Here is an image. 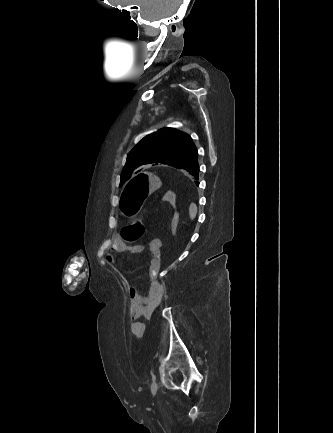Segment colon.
Masks as SVG:
<instances>
[{
    "mask_svg": "<svg viewBox=\"0 0 333 433\" xmlns=\"http://www.w3.org/2000/svg\"><path fill=\"white\" fill-rule=\"evenodd\" d=\"M163 200L174 205L176 202L175 195L172 192H168L163 196ZM173 231L175 230V218L172 220ZM144 234V226L139 219L128 222L121 231L122 238L127 243H136L139 241Z\"/></svg>",
    "mask_w": 333,
    "mask_h": 433,
    "instance_id": "obj_1",
    "label": "colon"
}]
</instances>
